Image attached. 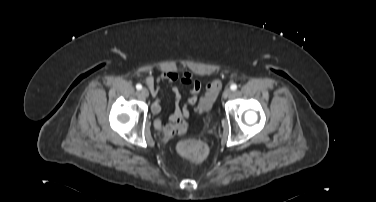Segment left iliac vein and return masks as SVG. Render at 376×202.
Wrapping results in <instances>:
<instances>
[{
	"instance_id": "4c4485c4",
	"label": "left iliac vein",
	"mask_w": 376,
	"mask_h": 202,
	"mask_svg": "<svg viewBox=\"0 0 376 202\" xmlns=\"http://www.w3.org/2000/svg\"><path fill=\"white\" fill-rule=\"evenodd\" d=\"M231 93H232V90L229 89V88H226V89L224 90V92H223V97H224V98H228V97L231 95Z\"/></svg>"
}]
</instances>
